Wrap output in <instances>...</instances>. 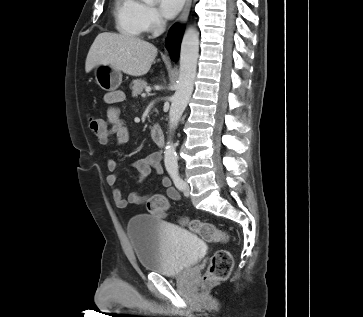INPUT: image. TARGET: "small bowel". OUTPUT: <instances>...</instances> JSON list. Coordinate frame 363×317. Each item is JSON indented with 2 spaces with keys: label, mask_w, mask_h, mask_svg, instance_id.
Wrapping results in <instances>:
<instances>
[{
  "label": "small bowel",
  "mask_w": 363,
  "mask_h": 317,
  "mask_svg": "<svg viewBox=\"0 0 363 317\" xmlns=\"http://www.w3.org/2000/svg\"><path fill=\"white\" fill-rule=\"evenodd\" d=\"M124 99L125 95L120 90L110 91L105 94L104 100L110 105V107L107 111V120L104 122L105 130L102 134L97 135L98 142L101 145H107L112 137L115 138L118 145H124L130 141V132L120 119L119 109L115 106L116 104L121 103ZM130 166L138 171L140 182H143L153 171L157 174L163 173L161 155L158 152H152L142 158L136 159L131 162ZM117 167V160H107V169L110 173L107 175L106 181L112 188L113 201L118 208L125 209L129 204L141 205L147 203L151 199L161 198L166 202L167 209V199H180V193L171 186V181L167 177H162L161 179V183L166 189V196L161 194H141L133 192L125 198L120 189L116 187L118 177L115 174V171Z\"/></svg>",
  "instance_id": "1"
}]
</instances>
